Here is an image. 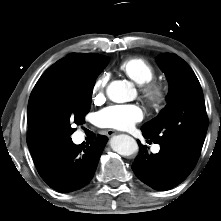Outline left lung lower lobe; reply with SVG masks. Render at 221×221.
Wrapping results in <instances>:
<instances>
[{
	"mask_svg": "<svg viewBox=\"0 0 221 221\" xmlns=\"http://www.w3.org/2000/svg\"><path fill=\"white\" fill-rule=\"evenodd\" d=\"M142 132L148 138L143 130ZM138 143L140 153L132 169L142 182L156 190H169L180 184L191 173L198 160L169 145H160L159 153L149 154L147 147L142 146L140 141Z\"/></svg>",
	"mask_w": 221,
	"mask_h": 221,
	"instance_id": "obj_1",
	"label": "left lung lower lobe"
}]
</instances>
